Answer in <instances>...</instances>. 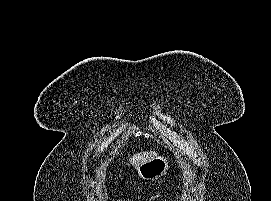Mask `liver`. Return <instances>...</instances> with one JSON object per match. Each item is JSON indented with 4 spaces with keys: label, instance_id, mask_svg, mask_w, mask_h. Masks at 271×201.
Returning a JSON list of instances; mask_svg holds the SVG:
<instances>
[{
    "label": "liver",
    "instance_id": "obj_1",
    "mask_svg": "<svg viewBox=\"0 0 271 201\" xmlns=\"http://www.w3.org/2000/svg\"><path fill=\"white\" fill-rule=\"evenodd\" d=\"M157 156V153L155 151H150V152H140L134 154L130 158V162L133 165L135 169H137L141 164L152 160Z\"/></svg>",
    "mask_w": 271,
    "mask_h": 201
}]
</instances>
